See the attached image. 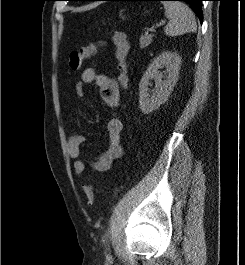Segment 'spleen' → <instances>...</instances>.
<instances>
[{"label": "spleen", "mask_w": 245, "mask_h": 265, "mask_svg": "<svg viewBox=\"0 0 245 265\" xmlns=\"http://www.w3.org/2000/svg\"><path fill=\"white\" fill-rule=\"evenodd\" d=\"M165 16L169 19L164 28L168 36H178L187 32L196 31L197 25L192 10L183 2L164 1Z\"/></svg>", "instance_id": "spleen-1"}]
</instances>
